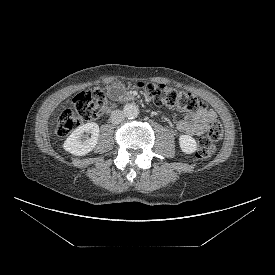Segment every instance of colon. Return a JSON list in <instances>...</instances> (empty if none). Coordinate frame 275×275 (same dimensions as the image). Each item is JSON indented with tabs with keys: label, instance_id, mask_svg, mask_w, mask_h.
Returning a JSON list of instances; mask_svg holds the SVG:
<instances>
[{
	"label": "colon",
	"instance_id": "5ec220e1",
	"mask_svg": "<svg viewBox=\"0 0 275 275\" xmlns=\"http://www.w3.org/2000/svg\"><path fill=\"white\" fill-rule=\"evenodd\" d=\"M138 89L155 105H165L185 112H195L205 108L195 95L173 89L162 83H139ZM73 109L64 110L58 120L56 132L59 136H66L83 123L100 117L106 107V93L97 88L80 92L74 96ZM223 129L219 122H214L199 139L196 156L199 159L212 157L221 140Z\"/></svg>",
	"mask_w": 275,
	"mask_h": 275
}]
</instances>
